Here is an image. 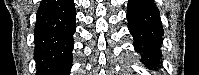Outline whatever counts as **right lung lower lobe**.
I'll return each mask as SVG.
<instances>
[{
    "instance_id": "right-lung-lower-lobe-1",
    "label": "right lung lower lobe",
    "mask_w": 199,
    "mask_h": 75,
    "mask_svg": "<svg viewBox=\"0 0 199 75\" xmlns=\"http://www.w3.org/2000/svg\"><path fill=\"white\" fill-rule=\"evenodd\" d=\"M75 17L73 0L41 1L34 30L37 75H69Z\"/></svg>"
}]
</instances>
